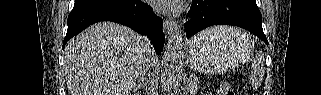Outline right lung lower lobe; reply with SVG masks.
<instances>
[{"label":"right lung lower lobe","mask_w":321,"mask_h":95,"mask_svg":"<svg viewBox=\"0 0 321 95\" xmlns=\"http://www.w3.org/2000/svg\"><path fill=\"white\" fill-rule=\"evenodd\" d=\"M99 21L117 22L142 35H147L158 55L163 49L165 42L162 30L163 22L152 11L151 7L140 0L74 6L68 16V29L63 47L70 38Z\"/></svg>","instance_id":"98d812e1"}]
</instances>
